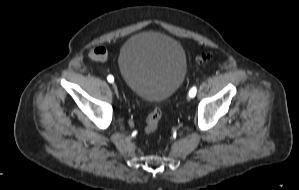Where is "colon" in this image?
<instances>
[{
	"label": "colon",
	"mask_w": 299,
	"mask_h": 190,
	"mask_svg": "<svg viewBox=\"0 0 299 190\" xmlns=\"http://www.w3.org/2000/svg\"><path fill=\"white\" fill-rule=\"evenodd\" d=\"M210 58V54L206 52H202L199 54L197 61L199 63L205 62ZM162 117V106L154 107L149 113L145 125V133L149 136H152L156 133L158 129L159 122Z\"/></svg>",
	"instance_id": "5ec220e1"
}]
</instances>
